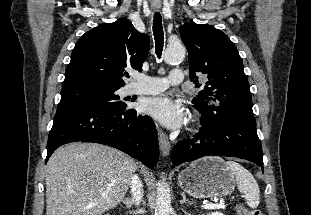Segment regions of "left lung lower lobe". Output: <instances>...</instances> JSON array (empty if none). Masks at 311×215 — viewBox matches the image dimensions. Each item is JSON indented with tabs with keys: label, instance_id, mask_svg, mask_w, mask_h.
I'll use <instances>...</instances> for the list:
<instances>
[{
	"label": "left lung lower lobe",
	"instance_id": "left-lung-lower-lobe-1",
	"mask_svg": "<svg viewBox=\"0 0 311 215\" xmlns=\"http://www.w3.org/2000/svg\"><path fill=\"white\" fill-rule=\"evenodd\" d=\"M200 132L179 141L172 150L173 165L203 156H233L263 166L261 143L254 116L232 115L216 122L201 121Z\"/></svg>",
	"mask_w": 311,
	"mask_h": 215
}]
</instances>
